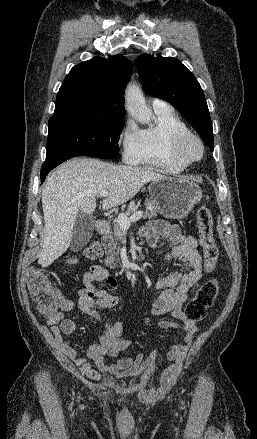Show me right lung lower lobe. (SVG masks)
I'll return each mask as SVG.
<instances>
[{
  "mask_svg": "<svg viewBox=\"0 0 257 439\" xmlns=\"http://www.w3.org/2000/svg\"><path fill=\"white\" fill-rule=\"evenodd\" d=\"M70 158L72 157H63L56 160L45 161L41 169V181L43 182L45 180V177L49 171Z\"/></svg>",
  "mask_w": 257,
  "mask_h": 439,
  "instance_id": "obj_1",
  "label": "right lung lower lobe"
}]
</instances>
